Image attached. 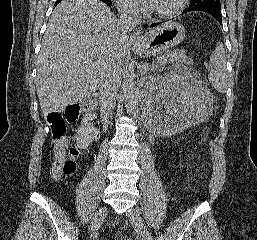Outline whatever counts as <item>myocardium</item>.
Listing matches in <instances>:
<instances>
[{
	"label": "myocardium",
	"mask_w": 257,
	"mask_h": 240,
	"mask_svg": "<svg viewBox=\"0 0 257 240\" xmlns=\"http://www.w3.org/2000/svg\"><path fill=\"white\" fill-rule=\"evenodd\" d=\"M186 3V0H175L172 7L162 11H154L153 15L157 18H169L179 13Z\"/></svg>",
	"instance_id": "obj_1"
}]
</instances>
